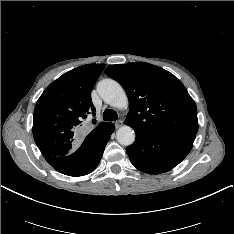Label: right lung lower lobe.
I'll list each match as a JSON object with an SVG mask.
<instances>
[{"label":"right lung lower lobe","instance_id":"1","mask_svg":"<svg viewBox=\"0 0 234 234\" xmlns=\"http://www.w3.org/2000/svg\"><path fill=\"white\" fill-rule=\"evenodd\" d=\"M114 131L112 123L93 130L81 146L66 156H46L47 162L62 174L83 176L91 173L100 162L105 146Z\"/></svg>","mask_w":234,"mask_h":234}]
</instances>
